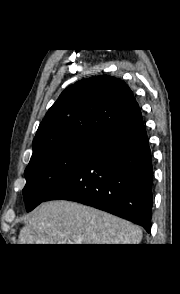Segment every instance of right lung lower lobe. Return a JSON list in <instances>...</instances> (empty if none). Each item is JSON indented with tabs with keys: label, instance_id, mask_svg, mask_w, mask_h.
<instances>
[{
	"label": "right lung lower lobe",
	"instance_id": "98d812e1",
	"mask_svg": "<svg viewBox=\"0 0 180 294\" xmlns=\"http://www.w3.org/2000/svg\"><path fill=\"white\" fill-rule=\"evenodd\" d=\"M152 158L141 111L103 136L45 201L64 199L107 211L151 231Z\"/></svg>",
	"mask_w": 180,
	"mask_h": 294
}]
</instances>
